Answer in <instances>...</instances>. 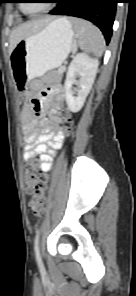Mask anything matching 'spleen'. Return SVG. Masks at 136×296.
<instances>
[{
    "mask_svg": "<svg viewBox=\"0 0 136 296\" xmlns=\"http://www.w3.org/2000/svg\"><path fill=\"white\" fill-rule=\"evenodd\" d=\"M71 22L78 37L79 48L101 57L105 45L101 31L92 23L83 19H72Z\"/></svg>",
    "mask_w": 136,
    "mask_h": 296,
    "instance_id": "obj_1",
    "label": "spleen"
}]
</instances>
